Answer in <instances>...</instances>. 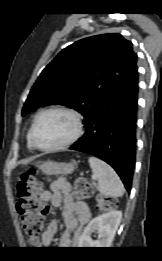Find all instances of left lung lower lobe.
<instances>
[{
	"mask_svg": "<svg viewBox=\"0 0 162 261\" xmlns=\"http://www.w3.org/2000/svg\"><path fill=\"white\" fill-rule=\"evenodd\" d=\"M138 73H134L92 112L85 134L70 147L110 164L131 188L136 154Z\"/></svg>",
	"mask_w": 162,
	"mask_h": 261,
	"instance_id": "1",
	"label": "left lung lower lobe"
}]
</instances>
